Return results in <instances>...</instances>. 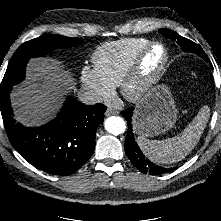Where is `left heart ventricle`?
Here are the masks:
<instances>
[{"mask_svg":"<svg viewBox=\"0 0 221 221\" xmlns=\"http://www.w3.org/2000/svg\"><path fill=\"white\" fill-rule=\"evenodd\" d=\"M163 57V51L160 47L153 48L146 56L142 65V75L144 78L154 73Z\"/></svg>","mask_w":221,"mask_h":221,"instance_id":"obj_1","label":"left heart ventricle"}]
</instances>
